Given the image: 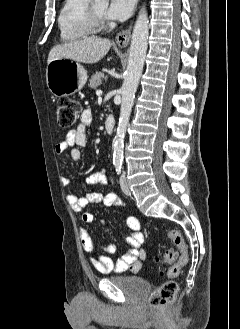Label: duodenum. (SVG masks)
Returning <instances> with one entry per match:
<instances>
[{
    "label": "duodenum",
    "instance_id": "410a0bca",
    "mask_svg": "<svg viewBox=\"0 0 240 329\" xmlns=\"http://www.w3.org/2000/svg\"><path fill=\"white\" fill-rule=\"evenodd\" d=\"M115 128V119L111 114H108L105 119V130L108 134H112Z\"/></svg>",
    "mask_w": 240,
    "mask_h": 329
}]
</instances>
